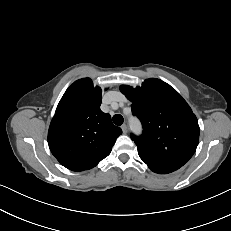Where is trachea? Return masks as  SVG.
Instances as JSON below:
<instances>
[{"label": "trachea", "instance_id": "3493384b", "mask_svg": "<svg viewBox=\"0 0 231 231\" xmlns=\"http://www.w3.org/2000/svg\"><path fill=\"white\" fill-rule=\"evenodd\" d=\"M112 120H113L114 124L117 126H121L123 124V121H124L123 116L120 114H115L113 116Z\"/></svg>", "mask_w": 231, "mask_h": 231}]
</instances>
